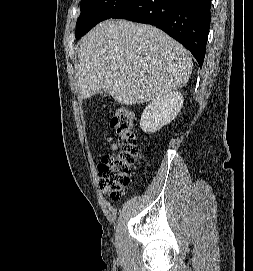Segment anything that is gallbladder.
Returning <instances> with one entry per match:
<instances>
[{
  "instance_id": "gallbladder-1",
  "label": "gallbladder",
  "mask_w": 253,
  "mask_h": 271,
  "mask_svg": "<svg viewBox=\"0 0 253 271\" xmlns=\"http://www.w3.org/2000/svg\"><path fill=\"white\" fill-rule=\"evenodd\" d=\"M100 95H102V96H108V95H110L109 93H107V92H105V91H103V90H101L100 91Z\"/></svg>"
}]
</instances>
